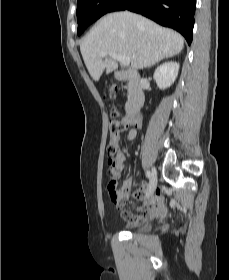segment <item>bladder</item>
Returning <instances> with one entry per match:
<instances>
[{
    "label": "bladder",
    "instance_id": "1",
    "mask_svg": "<svg viewBox=\"0 0 229 280\" xmlns=\"http://www.w3.org/2000/svg\"><path fill=\"white\" fill-rule=\"evenodd\" d=\"M151 225L152 224L150 220H143L140 221L137 225L131 226L130 228L138 232H147L150 230Z\"/></svg>",
    "mask_w": 229,
    "mask_h": 280
}]
</instances>
